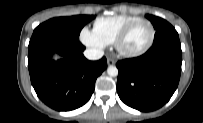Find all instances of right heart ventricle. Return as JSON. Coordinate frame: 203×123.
Here are the masks:
<instances>
[{
    "label": "right heart ventricle",
    "mask_w": 203,
    "mask_h": 123,
    "mask_svg": "<svg viewBox=\"0 0 203 123\" xmlns=\"http://www.w3.org/2000/svg\"><path fill=\"white\" fill-rule=\"evenodd\" d=\"M137 19L140 17L133 15L100 17L94 22L93 32L104 45H110L128 24Z\"/></svg>",
    "instance_id": "obj_1"
}]
</instances>
